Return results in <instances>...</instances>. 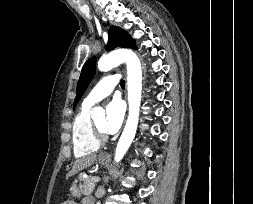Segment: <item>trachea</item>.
Here are the masks:
<instances>
[{
  "label": "trachea",
  "instance_id": "obj_1",
  "mask_svg": "<svg viewBox=\"0 0 253 204\" xmlns=\"http://www.w3.org/2000/svg\"><path fill=\"white\" fill-rule=\"evenodd\" d=\"M120 86H121L122 88L125 87V81H124L123 79L120 81Z\"/></svg>",
  "mask_w": 253,
  "mask_h": 204
}]
</instances>
